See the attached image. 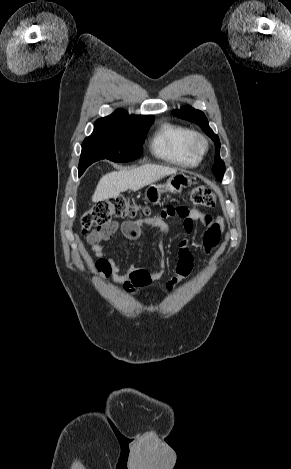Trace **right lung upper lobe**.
<instances>
[{"instance_id":"right-lung-upper-lobe-1","label":"right lung upper lobe","mask_w":291,"mask_h":469,"mask_svg":"<svg viewBox=\"0 0 291 469\" xmlns=\"http://www.w3.org/2000/svg\"><path fill=\"white\" fill-rule=\"evenodd\" d=\"M152 116H142V115H129L126 111L124 110H116L114 113H112L110 116L100 118L98 120L102 119H110V120H137V119H144V118H149Z\"/></svg>"}]
</instances>
